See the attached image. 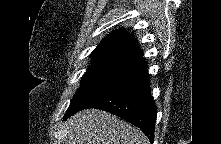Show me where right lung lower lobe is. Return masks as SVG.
Wrapping results in <instances>:
<instances>
[{
  "label": "right lung lower lobe",
  "mask_w": 221,
  "mask_h": 144,
  "mask_svg": "<svg viewBox=\"0 0 221 144\" xmlns=\"http://www.w3.org/2000/svg\"><path fill=\"white\" fill-rule=\"evenodd\" d=\"M147 67L143 60L125 78L83 109L97 108L119 116L140 128L152 143L157 109L151 96Z\"/></svg>",
  "instance_id": "right-lung-lower-lobe-1"
}]
</instances>
